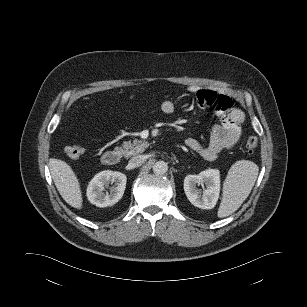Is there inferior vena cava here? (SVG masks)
I'll return each mask as SVG.
<instances>
[{
	"instance_id": "inferior-vena-cava-1",
	"label": "inferior vena cava",
	"mask_w": 307,
	"mask_h": 307,
	"mask_svg": "<svg viewBox=\"0 0 307 307\" xmlns=\"http://www.w3.org/2000/svg\"><path fill=\"white\" fill-rule=\"evenodd\" d=\"M144 162H145V156L144 155H138V156L132 157L129 160L128 165H129L130 168H136V167L141 166Z\"/></svg>"
}]
</instances>
